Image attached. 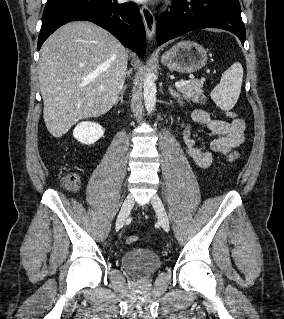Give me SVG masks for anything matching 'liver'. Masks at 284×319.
Masks as SVG:
<instances>
[{
  "label": "liver",
  "instance_id": "obj_1",
  "mask_svg": "<svg viewBox=\"0 0 284 319\" xmlns=\"http://www.w3.org/2000/svg\"><path fill=\"white\" fill-rule=\"evenodd\" d=\"M127 50L90 22H71L41 48L40 91L48 131L60 138L79 120L107 113L123 89Z\"/></svg>",
  "mask_w": 284,
  "mask_h": 319
}]
</instances>
